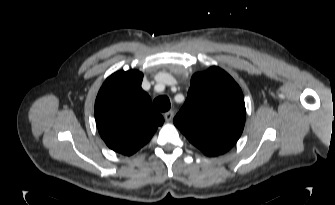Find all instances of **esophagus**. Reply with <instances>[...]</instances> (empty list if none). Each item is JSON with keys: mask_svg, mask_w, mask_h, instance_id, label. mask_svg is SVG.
<instances>
[{"mask_svg": "<svg viewBox=\"0 0 335 205\" xmlns=\"http://www.w3.org/2000/svg\"><path fill=\"white\" fill-rule=\"evenodd\" d=\"M174 117V112L173 111H168L164 114V118L166 122H171Z\"/></svg>", "mask_w": 335, "mask_h": 205, "instance_id": "34e87169", "label": "esophagus"}]
</instances>
